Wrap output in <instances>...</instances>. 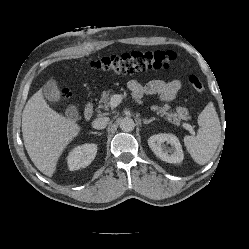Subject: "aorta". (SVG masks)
<instances>
[{"mask_svg": "<svg viewBox=\"0 0 249 249\" xmlns=\"http://www.w3.org/2000/svg\"><path fill=\"white\" fill-rule=\"evenodd\" d=\"M135 123L131 118H124L120 122V128L124 132H131L134 130Z\"/></svg>", "mask_w": 249, "mask_h": 249, "instance_id": "aorta-1", "label": "aorta"}]
</instances>
